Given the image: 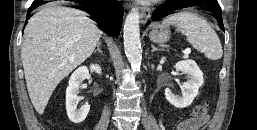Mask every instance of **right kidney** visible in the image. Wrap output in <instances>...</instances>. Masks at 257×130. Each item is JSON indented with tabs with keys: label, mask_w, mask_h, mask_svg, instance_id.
<instances>
[{
	"label": "right kidney",
	"mask_w": 257,
	"mask_h": 130,
	"mask_svg": "<svg viewBox=\"0 0 257 130\" xmlns=\"http://www.w3.org/2000/svg\"><path fill=\"white\" fill-rule=\"evenodd\" d=\"M90 70L97 74H101V67L98 64H92ZM89 77V70L86 66L79 67L73 72L69 79L68 87L66 89V111L68 118L75 124H79L87 117L90 105L86 103L80 109H77L80 100L79 89L82 82Z\"/></svg>",
	"instance_id": "obj_1"
}]
</instances>
